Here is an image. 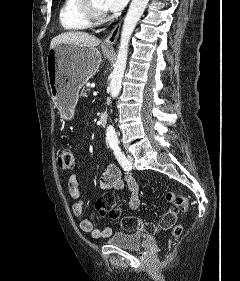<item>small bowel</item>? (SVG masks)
Instances as JSON below:
<instances>
[{
  "mask_svg": "<svg viewBox=\"0 0 240 281\" xmlns=\"http://www.w3.org/2000/svg\"><path fill=\"white\" fill-rule=\"evenodd\" d=\"M99 186L103 192H108L111 190L119 191L124 187H127L130 194L128 199L129 207L131 209H137L141 204L137 181L130 174H126L123 177L120 169L116 165L110 164L106 167L100 178ZM68 191L71 198L75 200L72 205V213L76 218L80 219V229L85 233H89L93 238L96 239L109 237L112 234V228H96L90 220L83 218L84 202L82 200L81 183L76 174L69 178Z\"/></svg>",
  "mask_w": 240,
  "mask_h": 281,
  "instance_id": "1",
  "label": "small bowel"
}]
</instances>
